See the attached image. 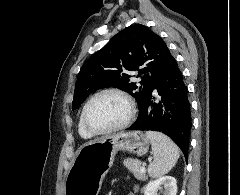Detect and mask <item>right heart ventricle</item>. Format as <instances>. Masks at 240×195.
I'll list each match as a JSON object with an SVG mask.
<instances>
[{
    "label": "right heart ventricle",
    "mask_w": 240,
    "mask_h": 195,
    "mask_svg": "<svg viewBox=\"0 0 240 195\" xmlns=\"http://www.w3.org/2000/svg\"><path fill=\"white\" fill-rule=\"evenodd\" d=\"M79 132L81 134V136L85 139H88L91 137V135L89 134L88 131H86L81 123V119H80V123H79Z\"/></svg>",
    "instance_id": "1"
}]
</instances>
